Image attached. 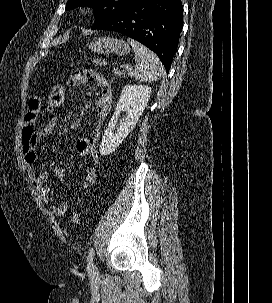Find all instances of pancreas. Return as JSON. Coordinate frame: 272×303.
Returning <instances> with one entry per match:
<instances>
[{
  "label": "pancreas",
  "mask_w": 272,
  "mask_h": 303,
  "mask_svg": "<svg viewBox=\"0 0 272 303\" xmlns=\"http://www.w3.org/2000/svg\"><path fill=\"white\" fill-rule=\"evenodd\" d=\"M113 73H114L115 75H118V76L121 75V72H120L118 69H113ZM122 75H125V72H122ZM128 76H131V74L128 73Z\"/></svg>",
  "instance_id": "pancreas-1"
}]
</instances>
